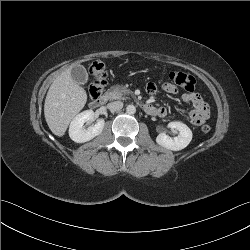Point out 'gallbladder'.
Returning <instances> with one entry per match:
<instances>
[{
    "instance_id": "bac80fb5",
    "label": "gallbladder",
    "mask_w": 250,
    "mask_h": 250,
    "mask_svg": "<svg viewBox=\"0 0 250 250\" xmlns=\"http://www.w3.org/2000/svg\"><path fill=\"white\" fill-rule=\"evenodd\" d=\"M71 77L78 84H85L88 80L87 71L82 65H77L72 67Z\"/></svg>"
}]
</instances>
